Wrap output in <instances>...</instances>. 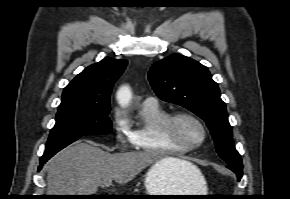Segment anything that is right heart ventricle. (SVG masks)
<instances>
[{
    "label": "right heart ventricle",
    "mask_w": 290,
    "mask_h": 199,
    "mask_svg": "<svg viewBox=\"0 0 290 199\" xmlns=\"http://www.w3.org/2000/svg\"><path fill=\"white\" fill-rule=\"evenodd\" d=\"M169 112L159 104H142L135 121L129 123L133 147L141 152L159 156H181L186 152L170 145L161 128Z\"/></svg>",
    "instance_id": "right-heart-ventricle-1"
}]
</instances>
